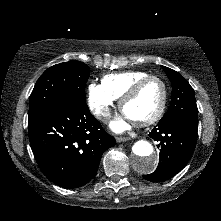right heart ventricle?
<instances>
[{
  "label": "right heart ventricle",
  "mask_w": 221,
  "mask_h": 221,
  "mask_svg": "<svg viewBox=\"0 0 221 221\" xmlns=\"http://www.w3.org/2000/svg\"><path fill=\"white\" fill-rule=\"evenodd\" d=\"M145 71H126L105 75L102 85L114 99L121 97L141 78L148 76Z\"/></svg>",
  "instance_id": "1"
}]
</instances>
